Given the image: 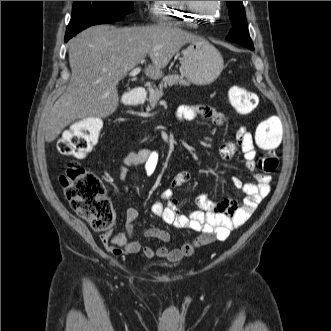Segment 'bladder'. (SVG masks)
<instances>
[{
  "instance_id": "1",
  "label": "bladder",
  "mask_w": 331,
  "mask_h": 331,
  "mask_svg": "<svg viewBox=\"0 0 331 331\" xmlns=\"http://www.w3.org/2000/svg\"><path fill=\"white\" fill-rule=\"evenodd\" d=\"M165 265L170 266L171 264L168 262H164Z\"/></svg>"
}]
</instances>
